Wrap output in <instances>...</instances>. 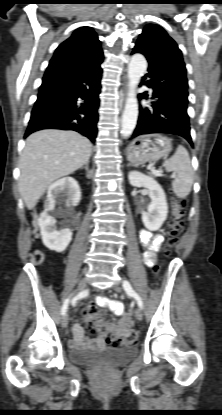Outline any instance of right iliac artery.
I'll return each mask as SVG.
<instances>
[{"instance_id": "82829eb1", "label": "right iliac artery", "mask_w": 222, "mask_h": 415, "mask_svg": "<svg viewBox=\"0 0 222 415\" xmlns=\"http://www.w3.org/2000/svg\"><path fill=\"white\" fill-rule=\"evenodd\" d=\"M87 294H88V290H85V291H83V292H80V293L78 294V297H79V298H82V297L87 296ZM69 302H70V298H67V299L64 301L63 305H62L61 314H62L63 316H64V315L66 314V312H67Z\"/></svg>"}]
</instances>
